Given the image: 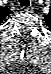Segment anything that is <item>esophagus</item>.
Here are the masks:
<instances>
[{
  "mask_svg": "<svg viewBox=\"0 0 51 74\" xmlns=\"http://www.w3.org/2000/svg\"><path fill=\"white\" fill-rule=\"evenodd\" d=\"M29 10H30L29 7H24V8H23V11H24V12H28Z\"/></svg>",
  "mask_w": 51,
  "mask_h": 74,
  "instance_id": "34e87169",
  "label": "esophagus"
}]
</instances>
